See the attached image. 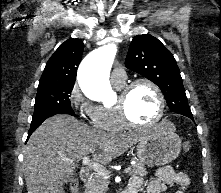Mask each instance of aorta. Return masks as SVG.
Returning a JSON list of instances; mask_svg holds the SVG:
<instances>
[{
    "label": "aorta",
    "instance_id": "762f6f07",
    "mask_svg": "<svg viewBox=\"0 0 221 193\" xmlns=\"http://www.w3.org/2000/svg\"><path fill=\"white\" fill-rule=\"evenodd\" d=\"M115 52V45L108 44L94 50L82 61L78 70V82L89 98L104 101L113 94L108 71Z\"/></svg>",
    "mask_w": 221,
    "mask_h": 193
}]
</instances>
